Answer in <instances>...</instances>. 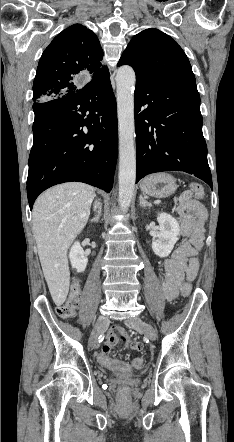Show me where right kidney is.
I'll return each mask as SVG.
<instances>
[{"mask_svg": "<svg viewBox=\"0 0 234 442\" xmlns=\"http://www.w3.org/2000/svg\"><path fill=\"white\" fill-rule=\"evenodd\" d=\"M69 258L72 268H75L77 272L85 271L88 263V258L85 256L84 250L78 241H76L71 247Z\"/></svg>", "mask_w": 234, "mask_h": 442, "instance_id": "obj_1", "label": "right kidney"}]
</instances>
